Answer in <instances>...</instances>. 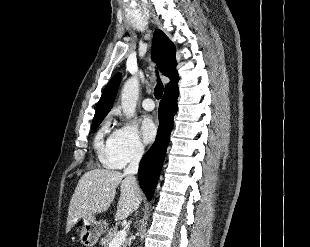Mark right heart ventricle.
<instances>
[{"instance_id": "obj_1", "label": "right heart ventricle", "mask_w": 310, "mask_h": 247, "mask_svg": "<svg viewBox=\"0 0 310 247\" xmlns=\"http://www.w3.org/2000/svg\"><path fill=\"white\" fill-rule=\"evenodd\" d=\"M108 123H105L102 128L97 132L94 139V148L96 153L103 159L106 155L111 136H107Z\"/></svg>"}]
</instances>
